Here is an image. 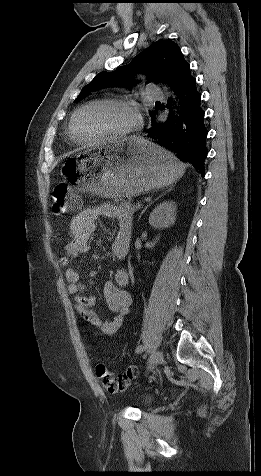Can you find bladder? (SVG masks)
I'll return each mask as SVG.
<instances>
[{
    "instance_id": "bladder-1",
    "label": "bladder",
    "mask_w": 261,
    "mask_h": 476,
    "mask_svg": "<svg viewBox=\"0 0 261 476\" xmlns=\"http://www.w3.org/2000/svg\"><path fill=\"white\" fill-rule=\"evenodd\" d=\"M143 402L145 405H148L151 402V398L146 397Z\"/></svg>"
}]
</instances>
